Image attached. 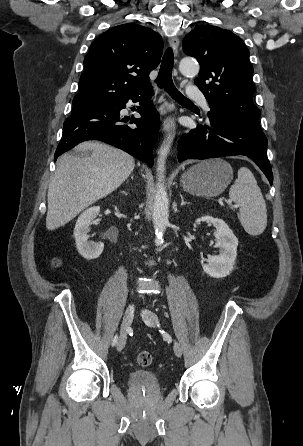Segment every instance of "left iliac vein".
<instances>
[{"mask_svg": "<svg viewBox=\"0 0 303 446\" xmlns=\"http://www.w3.org/2000/svg\"><path fill=\"white\" fill-rule=\"evenodd\" d=\"M141 315H142L144 322L148 326H151V327L156 326V323L158 322V317L154 312H152L151 310L145 309L142 311ZM173 350L177 357L182 356V347L177 341L174 342Z\"/></svg>", "mask_w": 303, "mask_h": 446, "instance_id": "1", "label": "left iliac vein"}]
</instances>
